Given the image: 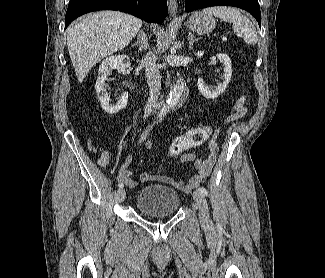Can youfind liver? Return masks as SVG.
Wrapping results in <instances>:
<instances>
[{
	"instance_id": "6515ba94",
	"label": "liver",
	"mask_w": 325,
	"mask_h": 278,
	"mask_svg": "<svg viewBox=\"0 0 325 278\" xmlns=\"http://www.w3.org/2000/svg\"><path fill=\"white\" fill-rule=\"evenodd\" d=\"M141 27L139 18L116 11L91 13L75 21L67 45L78 81L101 59L125 48Z\"/></svg>"
}]
</instances>
